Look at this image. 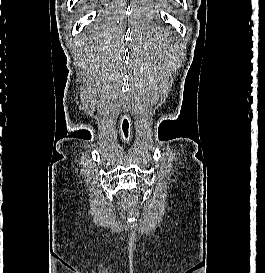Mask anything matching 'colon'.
I'll return each instance as SVG.
<instances>
[{"instance_id": "1", "label": "colon", "mask_w": 265, "mask_h": 273, "mask_svg": "<svg viewBox=\"0 0 265 273\" xmlns=\"http://www.w3.org/2000/svg\"><path fill=\"white\" fill-rule=\"evenodd\" d=\"M129 202H130V203H134V202H135V200H134V199H131Z\"/></svg>"}]
</instances>
